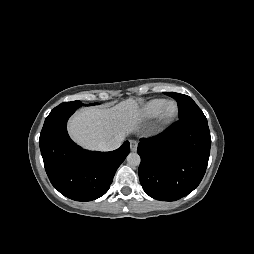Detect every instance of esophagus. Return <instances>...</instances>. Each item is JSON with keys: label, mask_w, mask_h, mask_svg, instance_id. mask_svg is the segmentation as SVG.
Segmentation results:
<instances>
[{"label": "esophagus", "mask_w": 254, "mask_h": 254, "mask_svg": "<svg viewBox=\"0 0 254 254\" xmlns=\"http://www.w3.org/2000/svg\"><path fill=\"white\" fill-rule=\"evenodd\" d=\"M137 141L135 140H130V148H131V151L135 152L137 150Z\"/></svg>", "instance_id": "34e87169"}]
</instances>
